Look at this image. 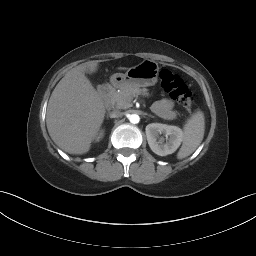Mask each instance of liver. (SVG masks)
<instances>
[{
	"label": "liver",
	"mask_w": 256,
	"mask_h": 256,
	"mask_svg": "<svg viewBox=\"0 0 256 256\" xmlns=\"http://www.w3.org/2000/svg\"><path fill=\"white\" fill-rule=\"evenodd\" d=\"M97 67V61H90L73 68L59 81L49 99V135L69 154L87 153L104 120L103 101L85 76V72L93 73Z\"/></svg>",
	"instance_id": "liver-1"
}]
</instances>
